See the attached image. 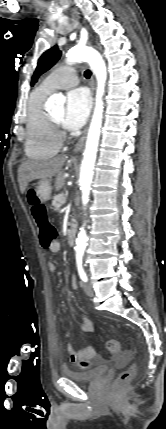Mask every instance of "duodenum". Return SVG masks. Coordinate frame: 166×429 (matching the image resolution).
<instances>
[{"mask_svg": "<svg viewBox=\"0 0 166 429\" xmlns=\"http://www.w3.org/2000/svg\"><path fill=\"white\" fill-rule=\"evenodd\" d=\"M75 236H76V229L74 225H71L68 232H67V241L69 245H74L75 243Z\"/></svg>", "mask_w": 166, "mask_h": 429, "instance_id": "obj_1", "label": "duodenum"}]
</instances>
